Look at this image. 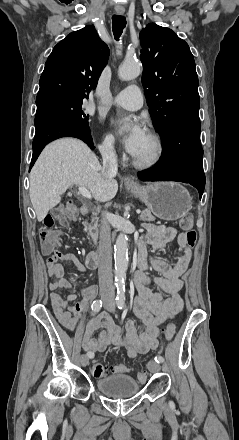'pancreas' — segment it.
Masks as SVG:
<instances>
[{
    "label": "pancreas",
    "mask_w": 239,
    "mask_h": 440,
    "mask_svg": "<svg viewBox=\"0 0 239 440\" xmlns=\"http://www.w3.org/2000/svg\"><path fill=\"white\" fill-rule=\"evenodd\" d=\"M140 220L142 222H155L156 218L152 216L150 210H143ZM88 236L93 240L94 244H97V238L99 234V224H98V218H92L91 224L88 226Z\"/></svg>",
    "instance_id": "cf45deb5"
}]
</instances>
